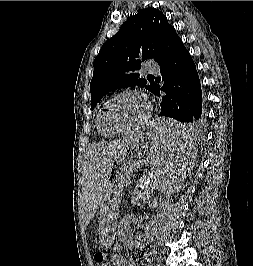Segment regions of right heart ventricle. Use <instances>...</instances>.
<instances>
[{"instance_id": "1", "label": "right heart ventricle", "mask_w": 253, "mask_h": 266, "mask_svg": "<svg viewBox=\"0 0 253 266\" xmlns=\"http://www.w3.org/2000/svg\"><path fill=\"white\" fill-rule=\"evenodd\" d=\"M96 126H97V120H96ZM97 132H98V134H99L100 136H104V135H102L101 132L99 131L98 126H97Z\"/></svg>"}]
</instances>
